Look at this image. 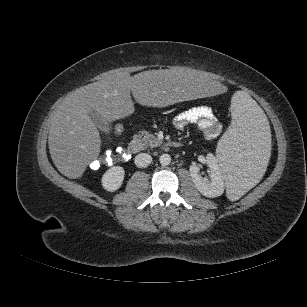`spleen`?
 Returning <instances> with one entry per match:
<instances>
[{
	"label": "spleen",
	"instance_id": "1",
	"mask_svg": "<svg viewBox=\"0 0 307 307\" xmlns=\"http://www.w3.org/2000/svg\"><path fill=\"white\" fill-rule=\"evenodd\" d=\"M232 123L218 142L217 159L225 172L227 197L236 201L269 169L271 141L267 117L244 91L231 100Z\"/></svg>",
	"mask_w": 307,
	"mask_h": 307
}]
</instances>
